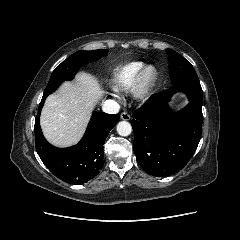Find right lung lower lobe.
I'll use <instances>...</instances> for the list:
<instances>
[{"instance_id":"1","label":"right lung lower lobe","mask_w":240,"mask_h":240,"mask_svg":"<svg viewBox=\"0 0 240 240\" xmlns=\"http://www.w3.org/2000/svg\"><path fill=\"white\" fill-rule=\"evenodd\" d=\"M46 97L43 95L35 119L36 151L46 167L58 178L71 184L88 182L101 169L105 139L120 115L94 111L86 133L77 145L65 149L56 148L45 140L39 123Z\"/></svg>"}]
</instances>
